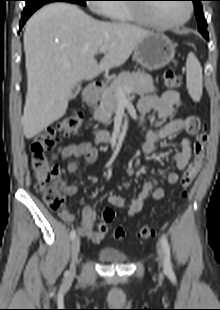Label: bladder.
Listing matches in <instances>:
<instances>
[{"instance_id":"31cf9c89","label":"bladder","mask_w":220,"mask_h":310,"mask_svg":"<svg viewBox=\"0 0 220 310\" xmlns=\"http://www.w3.org/2000/svg\"><path fill=\"white\" fill-rule=\"evenodd\" d=\"M96 256L99 261H101L102 263H106V264L125 263L128 258L126 253H124L120 249L110 247V246L99 248L96 251Z\"/></svg>"}]
</instances>
